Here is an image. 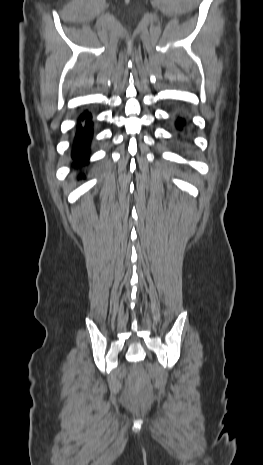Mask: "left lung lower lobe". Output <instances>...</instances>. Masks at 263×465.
Returning <instances> with one entry per match:
<instances>
[{
  "mask_svg": "<svg viewBox=\"0 0 263 465\" xmlns=\"http://www.w3.org/2000/svg\"><path fill=\"white\" fill-rule=\"evenodd\" d=\"M183 124H184V121L180 120L177 124L178 128L181 129Z\"/></svg>",
  "mask_w": 263,
  "mask_h": 465,
  "instance_id": "left-lung-lower-lobe-1",
  "label": "left lung lower lobe"
}]
</instances>
